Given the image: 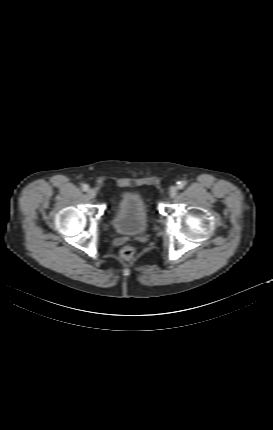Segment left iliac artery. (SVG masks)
Listing matches in <instances>:
<instances>
[{
	"instance_id": "1",
	"label": "left iliac artery",
	"mask_w": 273,
	"mask_h": 430,
	"mask_svg": "<svg viewBox=\"0 0 273 430\" xmlns=\"http://www.w3.org/2000/svg\"><path fill=\"white\" fill-rule=\"evenodd\" d=\"M186 186V182L185 181H179L177 182V188L178 189H183Z\"/></svg>"
}]
</instances>
